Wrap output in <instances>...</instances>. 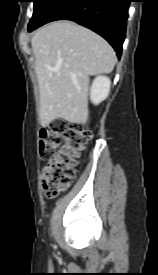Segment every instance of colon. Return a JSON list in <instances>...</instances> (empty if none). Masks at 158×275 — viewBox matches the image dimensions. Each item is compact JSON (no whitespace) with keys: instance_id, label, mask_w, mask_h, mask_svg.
Returning a JSON list of instances; mask_svg holds the SVG:
<instances>
[{"instance_id":"colon-1","label":"colon","mask_w":158,"mask_h":275,"mask_svg":"<svg viewBox=\"0 0 158 275\" xmlns=\"http://www.w3.org/2000/svg\"><path fill=\"white\" fill-rule=\"evenodd\" d=\"M90 130L77 124L54 120L39 133V154L45 162L41 185L48 198L68 188L76 176L78 159L91 140Z\"/></svg>"}]
</instances>
